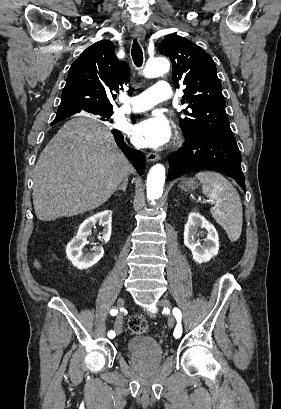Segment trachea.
I'll return each mask as SVG.
<instances>
[{
  "instance_id": "1",
  "label": "trachea",
  "mask_w": 281,
  "mask_h": 409,
  "mask_svg": "<svg viewBox=\"0 0 281 409\" xmlns=\"http://www.w3.org/2000/svg\"><path fill=\"white\" fill-rule=\"evenodd\" d=\"M132 59L136 66L141 67L143 64V53L140 45L138 44L136 38L133 40L131 49Z\"/></svg>"
}]
</instances>
